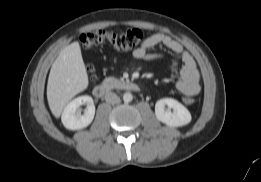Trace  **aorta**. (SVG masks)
<instances>
[{
	"instance_id": "aorta-1",
	"label": "aorta",
	"mask_w": 261,
	"mask_h": 182,
	"mask_svg": "<svg viewBox=\"0 0 261 182\" xmlns=\"http://www.w3.org/2000/svg\"><path fill=\"white\" fill-rule=\"evenodd\" d=\"M132 99H133V95L130 92L124 93V95H123L124 102H126V103L131 102Z\"/></svg>"
}]
</instances>
